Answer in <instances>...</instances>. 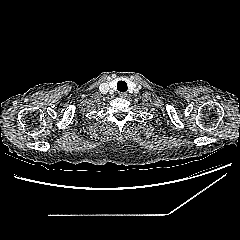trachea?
I'll return each mask as SVG.
<instances>
[{
    "label": "trachea",
    "mask_w": 240,
    "mask_h": 240,
    "mask_svg": "<svg viewBox=\"0 0 240 240\" xmlns=\"http://www.w3.org/2000/svg\"><path fill=\"white\" fill-rule=\"evenodd\" d=\"M117 89L120 92H125L127 91V83L125 81H119L117 83Z\"/></svg>",
    "instance_id": "3493384b"
}]
</instances>
